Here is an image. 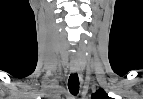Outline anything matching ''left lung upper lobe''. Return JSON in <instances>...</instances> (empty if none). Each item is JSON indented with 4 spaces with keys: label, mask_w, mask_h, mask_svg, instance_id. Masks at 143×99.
Instances as JSON below:
<instances>
[{
    "label": "left lung upper lobe",
    "mask_w": 143,
    "mask_h": 99,
    "mask_svg": "<svg viewBox=\"0 0 143 99\" xmlns=\"http://www.w3.org/2000/svg\"><path fill=\"white\" fill-rule=\"evenodd\" d=\"M92 99H111V98L103 89H99L95 94L92 95Z\"/></svg>",
    "instance_id": "left-lung-upper-lobe-1"
}]
</instances>
